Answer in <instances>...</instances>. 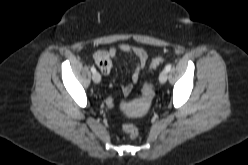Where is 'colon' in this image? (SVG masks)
<instances>
[{"instance_id":"colon-1","label":"colon","mask_w":248,"mask_h":165,"mask_svg":"<svg viewBox=\"0 0 248 165\" xmlns=\"http://www.w3.org/2000/svg\"><path fill=\"white\" fill-rule=\"evenodd\" d=\"M95 64L101 69L107 67L109 59L106 53L98 52L94 55ZM164 59L161 56H157L150 62V69H155L163 63ZM154 94L153 84L150 80L145 81L142 87V98L145 101H151ZM123 131L132 139L138 136V128L134 124H124L122 126Z\"/></svg>"}]
</instances>
